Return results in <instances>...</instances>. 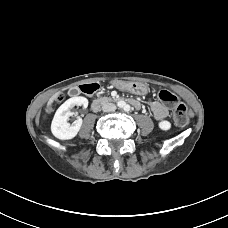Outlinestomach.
Instances as JSON below:
<instances>
[{"instance_id": "0dacf381", "label": "stomach", "mask_w": 228, "mask_h": 228, "mask_svg": "<svg viewBox=\"0 0 228 228\" xmlns=\"http://www.w3.org/2000/svg\"><path fill=\"white\" fill-rule=\"evenodd\" d=\"M121 85L124 86L128 91L136 95H146L148 93V86L143 82L131 81Z\"/></svg>"}]
</instances>
